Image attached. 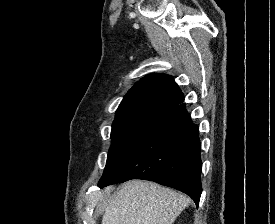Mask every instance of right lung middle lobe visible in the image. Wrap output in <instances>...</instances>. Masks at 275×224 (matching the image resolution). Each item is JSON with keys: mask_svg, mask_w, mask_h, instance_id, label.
Masks as SVG:
<instances>
[{"mask_svg": "<svg viewBox=\"0 0 275 224\" xmlns=\"http://www.w3.org/2000/svg\"><path fill=\"white\" fill-rule=\"evenodd\" d=\"M164 114V111L145 110L115 118L111 131L112 144L100 182L115 174Z\"/></svg>", "mask_w": 275, "mask_h": 224, "instance_id": "1", "label": "right lung middle lobe"}]
</instances>
